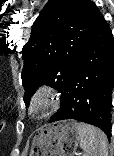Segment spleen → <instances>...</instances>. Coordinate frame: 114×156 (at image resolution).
Returning <instances> with one entry per match:
<instances>
[{
	"instance_id": "1",
	"label": "spleen",
	"mask_w": 114,
	"mask_h": 156,
	"mask_svg": "<svg viewBox=\"0 0 114 156\" xmlns=\"http://www.w3.org/2000/svg\"><path fill=\"white\" fill-rule=\"evenodd\" d=\"M77 129L83 156H108L107 138L100 129L86 123H78Z\"/></svg>"
}]
</instances>
